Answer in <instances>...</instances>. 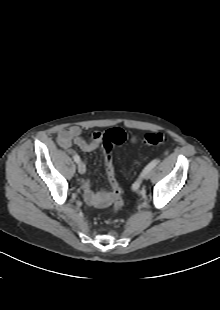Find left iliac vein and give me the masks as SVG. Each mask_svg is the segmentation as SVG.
Returning a JSON list of instances; mask_svg holds the SVG:
<instances>
[{
    "mask_svg": "<svg viewBox=\"0 0 220 310\" xmlns=\"http://www.w3.org/2000/svg\"><path fill=\"white\" fill-rule=\"evenodd\" d=\"M150 177H151L150 171L144 175V179H146V180L149 179Z\"/></svg>",
    "mask_w": 220,
    "mask_h": 310,
    "instance_id": "1",
    "label": "left iliac vein"
}]
</instances>
